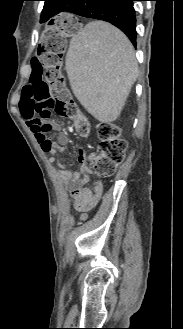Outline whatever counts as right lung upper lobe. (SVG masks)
Instances as JSON below:
<instances>
[{"instance_id": "cb5924a9", "label": "right lung upper lobe", "mask_w": 183, "mask_h": 329, "mask_svg": "<svg viewBox=\"0 0 183 329\" xmlns=\"http://www.w3.org/2000/svg\"><path fill=\"white\" fill-rule=\"evenodd\" d=\"M44 1H45V4H44V8H43V11L41 14V22H43V21L46 22L52 16L56 15L55 5H57V3L59 1H63V0H44Z\"/></svg>"}]
</instances>
